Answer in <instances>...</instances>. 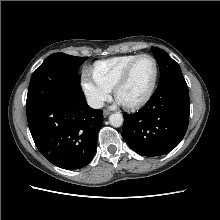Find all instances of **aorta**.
I'll return each mask as SVG.
<instances>
[{"label":"aorta","instance_id":"1","mask_svg":"<svg viewBox=\"0 0 220 220\" xmlns=\"http://www.w3.org/2000/svg\"><path fill=\"white\" fill-rule=\"evenodd\" d=\"M109 123L113 127H120L123 124V116L120 113H114L109 116Z\"/></svg>","mask_w":220,"mask_h":220}]
</instances>
